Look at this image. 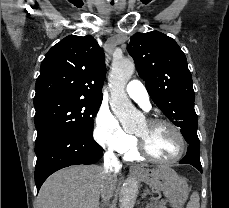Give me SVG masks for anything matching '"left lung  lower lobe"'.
I'll return each instance as SVG.
<instances>
[{
  "label": "left lung lower lobe",
  "instance_id": "1",
  "mask_svg": "<svg viewBox=\"0 0 229 208\" xmlns=\"http://www.w3.org/2000/svg\"><path fill=\"white\" fill-rule=\"evenodd\" d=\"M186 142L189 144L186 156L179 162L180 164H190L202 173L200 162V142L197 136V130H191L182 133Z\"/></svg>",
  "mask_w": 229,
  "mask_h": 208
}]
</instances>
